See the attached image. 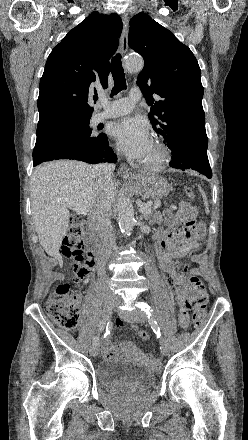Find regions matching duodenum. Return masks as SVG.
<instances>
[{
	"label": "duodenum",
	"instance_id": "1",
	"mask_svg": "<svg viewBox=\"0 0 248 440\" xmlns=\"http://www.w3.org/2000/svg\"><path fill=\"white\" fill-rule=\"evenodd\" d=\"M86 245L94 253L95 256L99 254V244L92 232L89 230L86 232Z\"/></svg>",
	"mask_w": 248,
	"mask_h": 440
}]
</instances>
